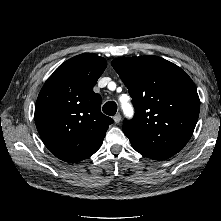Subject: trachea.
<instances>
[{
	"mask_svg": "<svg viewBox=\"0 0 221 221\" xmlns=\"http://www.w3.org/2000/svg\"><path fill=\"white\" fill-rule=\"evenodd\" d=\"M102 110L105 114L113 116L117 111V105L114 101H109L103 105Z\"/></svg>",
	"mask_w": 221,
	"mask_h": 221,
	"instance_id": "obj_1",
	"label": "trachea"
}]
</instances>
